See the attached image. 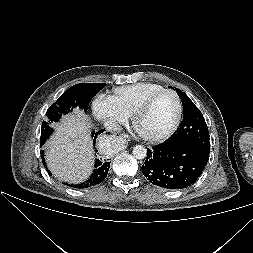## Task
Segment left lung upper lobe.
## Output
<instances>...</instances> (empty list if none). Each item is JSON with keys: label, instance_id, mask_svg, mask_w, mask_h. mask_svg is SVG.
<instances>
[{"label": "left lung upper lobe", "instance_id": "1", "mask_svg": "<svg viewBox=\"0 0 253 253\" xmlns=\"http://www.w3.org/2000/svg\"><path fill=\"white\" fill-rule=\"evenodd\" d=\"M183 104V122L177 133L168 141L170 143L189 144L209 152V134L205 119L191 99L176 88Z\"/></svg>", "mask_w": 253, "mask_h": 253}]
</instances>
